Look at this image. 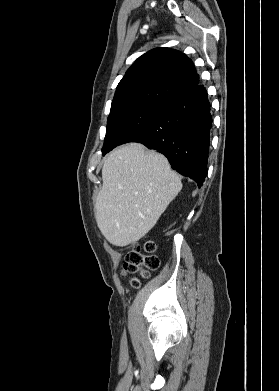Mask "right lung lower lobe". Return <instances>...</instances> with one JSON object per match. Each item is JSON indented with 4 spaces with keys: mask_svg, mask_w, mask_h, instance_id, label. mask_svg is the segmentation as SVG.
I'll return each mask as SVG.
<instances>
[{
    "mask_svg": "<svg viewBox=\"0 0 279 391\" xmlns=\"http://www.w3.org/2000/svg\"><path fill=\"white\" fill-rule=\"evenodd\" d=\"M212 116L207 91L196 85L165 103L153 121L127 142L164 154L173 169L201 187L207 175Z\"/></svg>",
    "mask_w": 279,
    "mask_h": 391,
    "instance_id": "obj_1",
    "label": "right lung lower lobe"
}]
</instances>
